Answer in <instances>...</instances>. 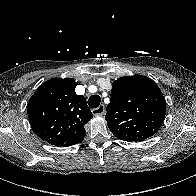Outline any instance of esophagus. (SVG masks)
I'll use <instances>...</instances> for the list:
<instances>
[{"label":"esophagus","instance_id":"obj_1","mask_svg":"<svg viewBox=\"0 0 196 196\" xmlns=\"http://www.w3.org/2000/svg\"><path fill=\"white\" fill-rule=\"evenodd\" d=\"M105 113L104 105H100L97 108L92 109V114L95 116H102Z\"/></svg>","mask_w":196,"mask_h":196}]
</instances>
